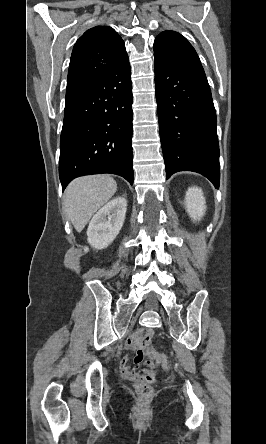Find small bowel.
<instances>
[{"mask_svg": "<svg viewBox=\"0 0 266 444\" xmlns=\"http://www.w3.org/2000/svg\"><path fill=\"white\" fill-rule=\"evenodd\" d=\"M152 336V331H148L144 336H134L127 341V346L134 350L132 357L133 363L136 367L130 366V358L125 356L121 359L120 370L121 373L132 381L152 382L155 378V365L148 364L141 368L144 357L143 347H145Z\"/></svg>", "mask_w": 266, "mask_h": 444, "instance_id": "c3829d8e", "label": "small bowel"}]
</instances>
